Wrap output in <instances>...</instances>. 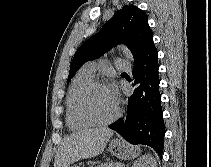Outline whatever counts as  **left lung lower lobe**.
<instances>
[{"instance_id":"obj_1","label":"left lung lower lobe","mask_w":211,"mask_h":167,"mask_svg":"<svg viewBox=\"0 0 211 167\" xmlns=\"http://www.w3.org/2000/svg\"><path fill=\"white\" fill-rule=\"evenodd\" d=\"M158 52L155 48L148 57L133 68L137 87L128 101L126 119H118L109 127L131 144L152 147L161 157L164 147L165 124L159 92Z\"/></svg>"}]
</instances>
